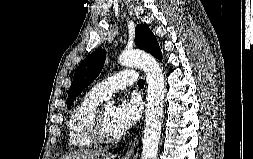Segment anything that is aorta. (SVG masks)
Returning <instances> with one entry per match:
<instances>
[{
  "label": "aorta",
  "mask_w": 253,
  "mask_h": 159,
  "mask_svg": "<svg viewBox=\"0 0 253 159\" xmlns=\"http://www.w3.org/2000/svg\"><path fill=\"white\" fill-rule=\"evenodd\" d=\"M119 63L138 66L146 73L147 104L141 159H156L164 107L165 82L162 69L150 54L138 50H125L119 56Z\"/></svg>",
  "instance_id": "1"
}]
</instances>
